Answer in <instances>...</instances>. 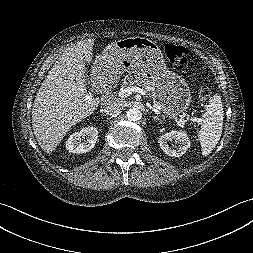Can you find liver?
<instances>
[{"label": "liver", "mask_w": 253, "mask_h": 253, "mask_svg": "<svg viewBox=\"0 0 253 253\" xmlns=\"http://www.w3.org/2000/svg\"><path fill=\"white\" fill-rule=\"evenodd\" d=\"M93 45L94 39H85L68 47L36 94L32 128L46 153H51L71 127L90 116L100 104L99 98L87 99L85 87V63L93 60Z\"/></svg>", "instance_id": "1"}]
</instances>
